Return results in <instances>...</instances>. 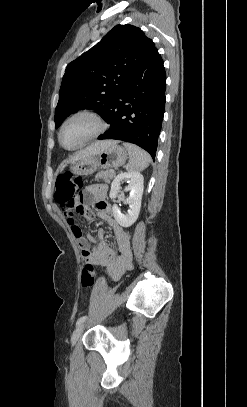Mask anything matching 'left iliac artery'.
<instances>
[{"label":"left iliac artery","mask_w":247,"mask_h":407,"mask_svg":"<svg viewBox=\"0 0 247 407\" xmlns=\"http://www.w3.org/2000/svg\"><path fill=\"white\" fill-rule=\"evenodd\" d=\"M86 319H87V316L80 317L76 322V326L82 324Z\"/></svg>","instance_id":"obj_1"}]
</instances>
